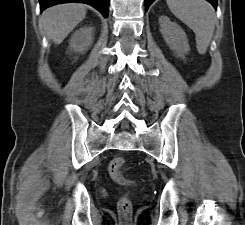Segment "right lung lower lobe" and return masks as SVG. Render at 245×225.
<instances>
[{
    "instance_id": "1",
    "label": "right lung lower lobe",
    "mask_w": 245,
    "mask_h": 225,
    "mask_svg": "<svg viewBox=\"0 0 245 225\" xmlns=\"http://www.w3.org/2000/svg\"><path fill=\"white\" fill-rule=\"evenodd\" d=\"M39 2H40V11H43L44 9L50 6L59 3H67V2L85 3L96 8L106 18L108 15L110 0H39Z\"/></svg>"
}]
</instances>
